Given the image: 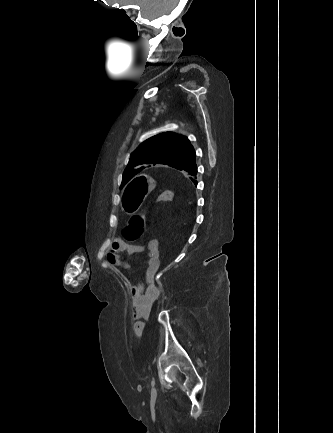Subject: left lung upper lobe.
Instances as JSON below:
<instances>
[{
	"mask_svg": "<svg viewBox=\"0 0 333 433\" xmlns=\"http://www.w3.org/2000/svg\"><path fill=\"white\" fill-rule=\"evenodd\" d=\"M195 161V150L188 138L171 132L158 134L143 142L131 154L121 187L147 164H164L183 170Z\"/></svg>",
	"mask_w": 333,
	"mask_h": 433,
	"instance_id": "5c2ea615",
	"label": "left lung upper lobe"
}]
</instances>
